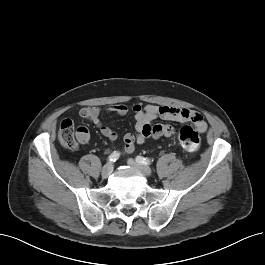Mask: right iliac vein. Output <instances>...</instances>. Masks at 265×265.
I'll return each instance as SVG.
<instances>
[{
  "label": "right iliac vein",
  "mask_w": 265,
  "mask_h": 265,
  "mask_svg": "<svg viewBox=\"0 0 265 265\" xmlns=\"http://www.w3.org/2000/svg\"><path fill=\"white\" fill-rule=\"evenodd\" d=\"M112 171H113V165L111 163H107L106 165H104L101 170L102 178L107 179L112 173Z\"/></svg>",
  "instance_id": "right-iliac-vein-1"
}]
</instances>
